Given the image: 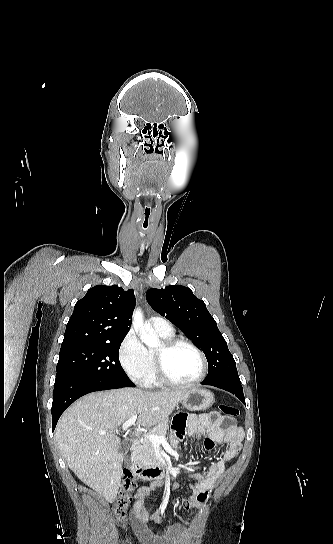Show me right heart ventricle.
I'll list each match as a JSON object with an SVG mask.
<instances>
[{
  "label": "right heart ventricle",
  "instance_id": "e07e8e85",
  "mask_svg": "<svg viewBox=\"0 0 333 544\" xmlns=\"http://www.w3.org/2000/svg\"><path fill=\"white\" fill-rule=\"evenodd\" d=\"M158 335L163 338L164 340L173 338V333L171 334H162L157 332ZM149 353V359H150V370L148 373V376L146 378V381L144 382V385L146 387H158L161 385V382L158 380L156 371H155V365H154V353L153 351H148Z\"/></svg>",
  "mask_w": 333,
  "mask_h": 544
}]
</instances>
